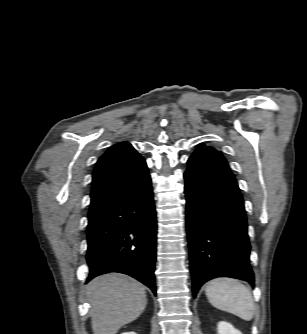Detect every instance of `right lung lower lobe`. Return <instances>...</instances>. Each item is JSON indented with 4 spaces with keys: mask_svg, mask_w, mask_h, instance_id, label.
<instances>
[{
    "mask_svg": "<svg viewBox=\"0 0 307 334\" xmlns=\"http://www.w3.org/2000/svg\"><path fill=\"white\" fill-rule=\"evenodd\" d=\"M156 214L151 179L88 216L86 282L108 272L132 276L154 294Z\"/></svg>",
    "mask_w": 307,
    "mask_h": 334,
    "instance_id": "1",
    "label": "right lung lower lobe"
}]
</instances>
